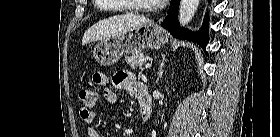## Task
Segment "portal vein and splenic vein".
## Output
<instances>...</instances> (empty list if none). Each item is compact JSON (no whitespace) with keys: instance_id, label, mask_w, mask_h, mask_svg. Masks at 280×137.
I'll use <instances>...</instances> for the list:
<instances>
[{"instance_id":"obj_1","label":"portal vein and splenic vein","mask_w":280,"mask_h":137,"mask_svg":"<svg viewBox=\"0 0 280 137\" xmlns=\"http://www.w3.org/2000/svg\"><path fill=\"white\" fill-rule=\"evenodd\" d=\"M151 67V63H147L146 65H145V68L146 69H148V68H150Z\"/></svg>"}]
</instances>
